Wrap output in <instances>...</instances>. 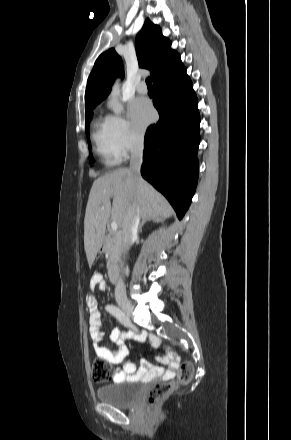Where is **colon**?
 I'll use <instances>...</instances> for the list:
<instances>
[{"label": "colon", "instance_id": "obj_1", "mask_svg": "<svg viewBox=\"0 0 291 440\" xmlns=\"http://www.w3.org/2000/svg\"><path fill=\"white\" fill-rule=\"evenodd\" d=\"M169 351L170 349L167 348ZM111 369L108 362L104 359H98L92 365V377L95 381L103 382L111 378ZM193 376V364L190 361H183L179 373L178 383L173 382H158L150 389L147 403L149 406H156L157 403L171 394L178 386V384H187Z\"/></svg>", "mask_w": 291, "mask_h": 440}]
</instances>
